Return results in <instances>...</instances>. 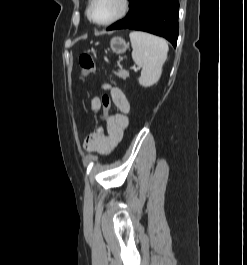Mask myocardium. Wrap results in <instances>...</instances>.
Wrapping results in <instances>:
<instances>
[{"label":"myocardium","instance_id":"obj_1","mask_svg":"<svg viewBox=\"0 0 247 265\" xmlns=\"http://www.w3.org/2000/svg\"><path fill=\"white\" fill-rule=\"evenodd\" d=\"M95 2L96 0H90L88 8H87V17L91 23L97 26H100V27L110 26V25H113L119 22L120 20L124 19L131 10V0H118L120 4L119 11L110 19L103 21V22H98V21H95L92 17V8Z\"/></svg>","mask_w":247,"mask_h":265}]
</instances>
